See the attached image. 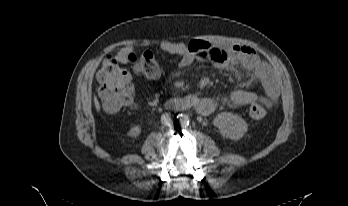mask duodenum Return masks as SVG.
Here are the masks:
<instances>
[{
  "label": "duodenum",
  "mask_w": 348,
  "mask_h": 206,
  "mask_svg": "<svg viewBox=\"0 0 348 206\" xmlns=\"http://www.w3.org/2000/svg\"><path fill=\"white\" fill-rule=\"evenodd\" d=\"M173 105L180 109H193L200 114H206L212 109V103L198 95L187 96L176 101Z\"/></svg>",
  "instance_id": "obj_1"
}]
</instances>
